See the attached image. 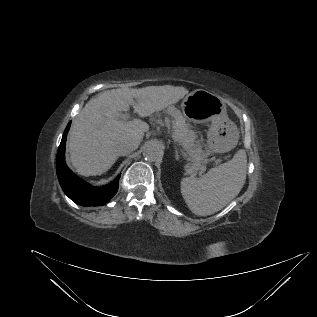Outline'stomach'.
Instances as JSON below:
<instances>
[{
	"mask_svg": "<svg viewBox=\"0 0 317 317\" xmlns=\"http://www.w3.org/2000/svg\"><path fill=\"white\" fill-rule=\"evenodd\" d=\"M184 102L185 104L194 103L198 109L204 112L201 121L210 123L207 136L211 152H228L237 145L239 140L238 128L227 117L226 106L220 96L203 89H197L191 92Z\"/></svg>",
	"mask_w": 317,
	"mask_h": 317,
	"instance_id": "0dacf381",
	"label": "stomach"
}]
</instances>
